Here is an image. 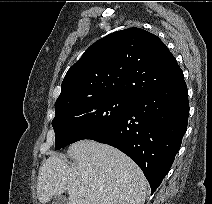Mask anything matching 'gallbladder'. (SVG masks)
Returning <instances> with one entry per match:
<instances>
[{
  "label": "gallbladder",
  "instance_id": "gallbladder-1",
  "mask_svg": "<svg viewBox=\"0 0 212 204\" xmlns=\"http://www.w3.org/2000/svg\"><path fill=\"white\" fill-rule=\"evenodd\" d=\"M52 204H68L67 199L63 195L55 196L52 200Z\"/></svg>",
  "mask_w": 212,
  "mask_h": 204
}]
</instances>
